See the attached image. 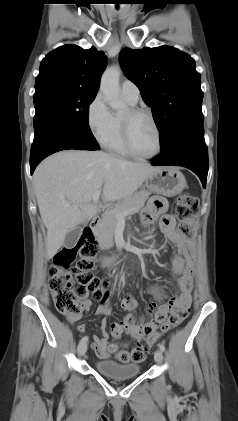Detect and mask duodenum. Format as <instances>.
<instances>
[{"mask_svg": "<svg viewBox=\"0 0 238 421\" xmlns=\"http://www.w3.org/2000/svg\"><path fill=\"white\" fill-rule=\"evenodd\" d=\"M99 224H100V218L99 217L94 218L90 222L89 227L87 228L86 233H91L92 231H94L99 226ZM113 262L114 261L112 259H106L104 261V265L105 266H108V265L112 264Z\"/></svg>", "mask_w": 238, "mask_h": 421, "instance_id": "obj_1", "label": "duodenum"}]
</instances>
